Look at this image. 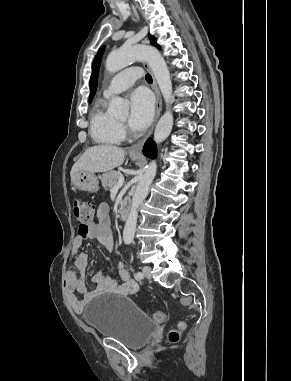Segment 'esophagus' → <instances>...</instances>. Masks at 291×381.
I'll return each mask as SVG.
<instances>
[{
	"label": "esophagus",
	"instance_id": "esophagus-1",
	"mask_svg": "<svg viewBox=\"0 0 291 381\" xmlns=\"http://www.w3.org/2000/svg\"><path fill=\"white\" fill-rule=\"evenodd\" d=\"M143 66L146 69H148V71L151 73L152 78H153V90H154L155 95H156V113H155V118H154L153 124H152L150 130L148 131V133L138 143L132 145L129 148L128 152L131 153V154H135V155H141L142 147H143L145 141L152 134L153 129H154V127H155V125H156V123L158 121V118H159V116L161 114V111H162V98H161V94H160V91H159L156 79H155L151 69L149 68L148 64L147 63H143Z\"/></svg>",
	"mask_w": 291,
	"mask_h": 381
}]
</instances>
